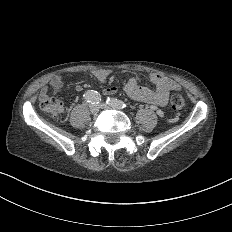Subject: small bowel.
<instances>
[{"label": "small bowel", "instance_id": "small-bowel-1", "mask_svg": "<svg viewBox=\"0 0 232 232\" xmlns=\"http://www.w3.org/2000/svg\"><path fill=\"white\" fill-rule=\"evenodd\" d=\"M94 76L101 82H105L110 74L108 69H95L93 71ZM151 81L156 85L157 89L140 87L139 80L136 77L130 78L125 85L126 94L136 101L154 102L161 106H165L168 103L169 93L178 89V84L172 78H169L160 73H152L150 75ZM80 85H86L89 83L87 78H80L78 80ZM64 85V79L62 76L57 75L49 81V85L41 87V93L46 94L49 90L52 92H58Z\"/></svg>", "mask_w": 232, "mask_h": 232}]
</instances>
